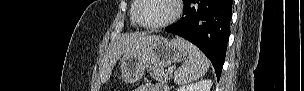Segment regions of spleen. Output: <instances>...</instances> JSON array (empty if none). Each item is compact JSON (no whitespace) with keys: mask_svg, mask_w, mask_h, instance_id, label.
Wrapping results in <instances>:
<instances>
[{"mask_svg":"<svg viewBox=\"0 0 304 91\" xmlns=\"http://www.w3.org/2000/svg\"><path fill=\"white\" fill-rule=\"evenodd\" d=\"M189 54L188 59L178 68L174 74V82L176 84H188L203 77L208 71L210 62L208 58L190 42L178 38Z\"/></svg>","mask_w":304,"mask_h":91,"instance_id":"spleen-1","label":"spleen"}]
</instances>
